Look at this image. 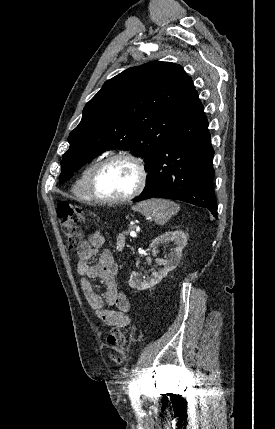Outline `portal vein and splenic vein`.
<instances>
[{
	"mask_svg": "<svg viewBox=\"0 0 275 429\" xmlns=\"http://www.w3.org/2000/svg\"><path fill=\"white\" fill-rule=\"evenodd\" d=\"M130 235L133 236V235H135V233L134 232H130Z\"/></svg>",
	"mask_w": 275,
	"mask_h": 429,
	"instance_id": "18ae733b",
	"label": "portal vein and splenic vein"
}]
</instances>
